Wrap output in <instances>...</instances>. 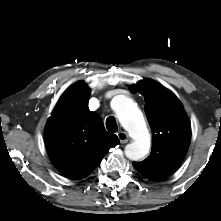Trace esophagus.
Wrapping results in <instances>:
<instances>
[{"label": "esophagus", "instance_id": "obj_1", "mask_svg": "<svg viewBox=\"0 0 221 221\" xmlns=\"http://www.w3.org/2000/svg\"><path fill=\"white\" fill-rule=\"evenodd\" d=\"M120 143L125 144L128 142V135L124 131H120L117 133Z\"/></svg>", "mask_w": 221, "mask_h": 221}]
</instances>
